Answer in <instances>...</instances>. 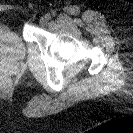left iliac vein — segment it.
Returning a JSON list of instances; mask_svg holds the SVG:
<instances>
[{"label": "left iliac vein", "mask_w": 133, "mask_h": 133, "mask_svg": "<svg viewBox=\"0 0 133 133\" xmlns=\"http://www.w3.org/2000/svg\"><path fill=\"white\" fill-rule=\"evenodd\" d=\"M49 19H50V16H49V15H45V16L41 17L40 23H41L42 25H46L47 22L49 21Z\"/></svg>", "instance_id": "obj_1"}]
</instances>
